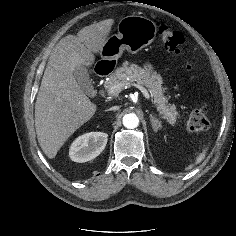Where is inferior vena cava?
I'll return each instance as SVG.
<instances>
[{
  "mask_svg": "<svg viewBox=\"0 0 236 236\" xmlns=\"http://www.w3.org/2000/svg\"><path fill=\"white\" fill-rule=\"evenodd\" d=\"M119 109V106H113V107H111L109 110L111 111V110H118Z\"/></svg>",
  "mask_w": 236,
  "mask_h": 236,
  "instance_id": "inferior-vena-cava-1",
  "label": "inferior vena cava"
}]
</instances>
